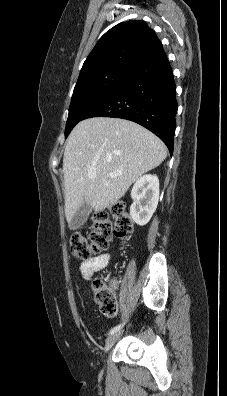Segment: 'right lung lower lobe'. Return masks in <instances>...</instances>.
I'll return each instance as SVG.
<instances>
[{"mask_svg":"<svg viewBox=\"0 0 227 396\" xmlns=\"http://www.w3.org/2000/svg\"><path fill=\"white\" fill-rule=\"evenodd\" d=\"M176 86L164 50L138 65L83 117H115L136 122L157 135L173 153Z\"/></svg>","mask_w":227,"mask_h":396,"instance_id":"98d812e1","label":"right lung lower lobe"}]
</instances>
